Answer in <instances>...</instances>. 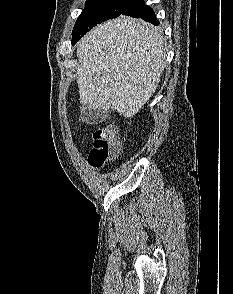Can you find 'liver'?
<instances>
[{"mask_svg":"<svg viewBox=\"0 0 233 294\" xmlns=\"http://www.w3.org/2000/svg\"><path fill=\"white\" fill-rule=\"evenodd\" d=\"M76 47L80 102L127 118L155 93L166 65L161 32L126 16L93 28Z\"/></svg>","mask_w":233,"mask_h":294,"instance_id":"liver-1","label":"liver"}]
</instances>
